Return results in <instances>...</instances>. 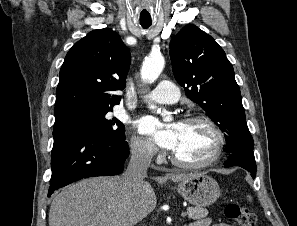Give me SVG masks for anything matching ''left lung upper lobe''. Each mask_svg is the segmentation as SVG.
<instances>
[{"label":"left lung upper lobe","instance_id":"obj_1","mask_svg":"<svg viewBox=\"0 0 297 226\" xmlns=\"http://www.w3.org/2000/svg\"><path fill=\"white\" fill-rule=\"evenodd\" d=\"M174 76L186 96L225 133L228 156L254 154L233 66L215 40L193 24L170 40Z\"/></svg>","mask_w":297,"mask_h":226}]
</instances>
